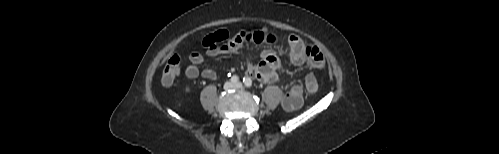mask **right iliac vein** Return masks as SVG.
I'll return each instance as SVG.
<instances>
[{
	"instance_id": "1",
	"label": "right iliac vein",
	"mask_w": 499,
	"mask_h": 154,
	"mask_svg": "<svg viewBox=\"0 0 499 154\" xmlns=\"http://www.w3.org/2000/svg\"><path fill=\"white\" fill-rule=\"evenodd\" d=\"M233 87V84L232 83H227L225 85V89H231Z\"/></svg>"
}]
</instances>
